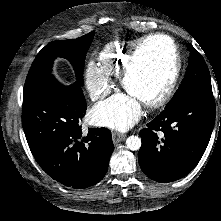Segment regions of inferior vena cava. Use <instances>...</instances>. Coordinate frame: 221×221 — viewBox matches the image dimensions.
<instances>
[{"label": "inferior vena cava", "instance_id": "obj_1", "mask_svg": "<svg viewBox=\"0 0 221 221\" xmlns=\"http://www.w3.org/2000/svg\"><path fill=\"white\" fill-rule=\"evenodd\" d=\"M104 96L105 94H101L98 90L90 92V98L92 101H96Z\"/></svg>", "mask_w": 221, "mask_h": 221}]
</instances>
